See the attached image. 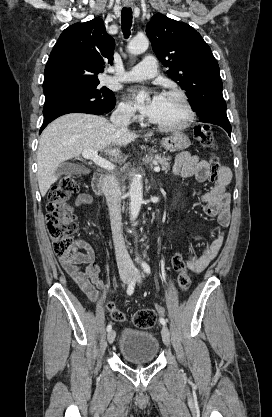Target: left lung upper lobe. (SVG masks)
Returning a JSON list of instances; mask_svg holds the SVG:
<instances>
[{
    "label": "left lung upper lobe",
    "mask_w": 272,
    "mask_h": 417,
    "mask_svg": "<svg viewBox=\"0 0 272 417\" xmlns=\"http://www.w3.org/2000/svg\"><path fill=\"white\" fill-rule=\"evenodd\" d=\"M152 48L167 74L187 91L200 120L230 127L219 65L210 47L190 25L162 14L146 26Z\"/></svg>",
    "instance_id": "obj_1"
}]
</instances>
